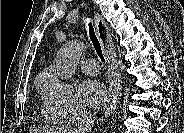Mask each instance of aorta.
Listing matches in <instances>:
<instances>
[{"label":"aorta","instance_id":"aorta-1","mask_svg":"<svg viewBox=\"0 0 184 133\" xmlns=\"http://www.w3.org/2000/svg\"><path fill=\"white\" fill-rule=\"evenodd\" d=\"M84 49L85 44L79 40L66 42L60 48L56 58V71L61 79L67 80L74 75Z\"/></svg>","mask_w":184,"mask_h":133}]
</instances>
